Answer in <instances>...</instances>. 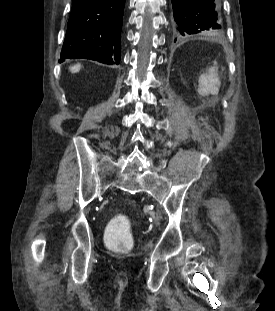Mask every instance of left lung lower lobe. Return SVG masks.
<instances>
[{"label": "left lung lower lobe", "instance_id": "obj_1", "mask_svg": "<svg viewBox=\"0 0 275 311\" xmlns=\"http://www.w3.org/2000/svg\"><path fill=\"white\" fill-rule=\"evenodd\" d=\"M218 0H172V35L212 34L222 28L218 17Z\"/></svg>", "mask_w": 275, "mask_h": 311}]
</instances>
